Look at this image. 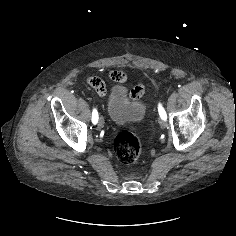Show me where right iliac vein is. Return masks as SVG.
Returning a JSON list of instances; mask_svg holds the SVG:
<instances>
[{
  "mask_svg": "<svg viewBox=\"0 0 236 236\" xmlns=\"http://www.w3.org/2000/svg\"><path fill=\"white\" fill-rule=\"evenodd\" d=\"M98 125H99L100 127H102V126L104 125V119H103V117H100V118H99Z\"/></svg>",
  "mask_w": 236,
  "mask_h": 236,
  "instance_id": "obj_1",
  "label": "right iliac vein"
}]
</instances>
